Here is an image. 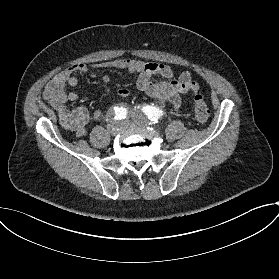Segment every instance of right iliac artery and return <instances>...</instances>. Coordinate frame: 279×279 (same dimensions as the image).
Listing matches in <instances>:
<instances>
[{
	"label": "right iliac artery",
	"mask_w": 279,
	"mask_h": 279,
	"mask_svg": "<svg viewBox=\"0 0 279 279\" xmlns=\"http://www.w3.org/2000/svg\"><path fill=\"white\" fill-rule=\"evenodd\" d=\"M128 115V110L125 107L116 106L111 111V116L115 120L121 121Z\"/></svg>",
	"instance_id": "right-iliac-artery-1"
}]
</instances>
